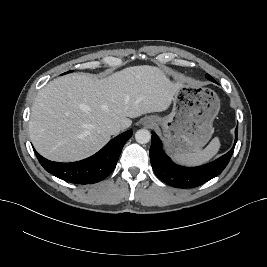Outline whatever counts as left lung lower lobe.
<instances>
[{"instance_id": "0a47b994", "label": "left lung lower lobe", "mask_w": 267, "mask_h": 267, "mask_svg": "<svg viewBox=\"0 0 267 267\" xmlns=\"http://www.w3.org/2000/svg\"><path fill=\"white\" fill-rule=\"evenodd\" d=\"M211 81H214L211 79ZM215 82V81H214ZM238 127L235 129L233 148L217 160L199 167H182L176 165L162 150V143L152 132L150 147V161L152 168L159 179L175 188H194L219 175L227 166L237 142Z\"/></svg>"}]
</instances>
